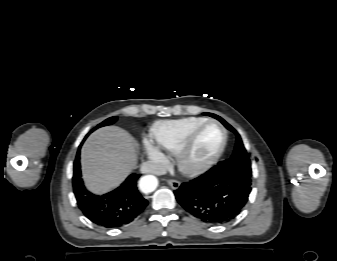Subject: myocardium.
<instances>
[{"label": "myocardium", "mask_w": 337, "mask_h": 261, "mask_svg": "<svg viewBox=\"0 0 337 261\" xmlns=\"http://www.w3.org/2000/svg\"><path fill=\"white\" fill-rule=\"evenodd\" d=\"M216 125L222 133V141L217 151L202 163L192 165L188 162V157L198 134L207 126ZM228 134L225 127L217 120L209 119L196 126L190 131L183 144L175 154L178 169L187 176H197L207 172L212 168L223 155L227 146Z\"/></svg>", "instance_id": "myocardium-1"}]
</instances>
